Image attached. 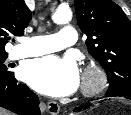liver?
<instances>
[{"mask_svg":"<svg viewBox=\"0 0 131 115\" xmlns=\"http://www.w3.org/2000/svg\"><path fill=\"white\" fill-rule=\"evenodd\" d=\"M0 115H11L8 111L0 108Z\"/></svg>","mask_w":131,"mask_h":115,"instance_id":"obj_1","label":"liver"}]
</instances>
